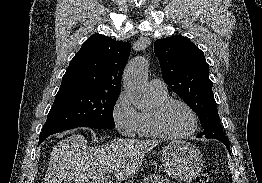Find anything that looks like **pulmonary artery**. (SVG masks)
I'll return each instance as SVG.
<instances>
[{"label":"pulmonary artery","instance_id":"obj_1","mask_svg":"<svg viewBox=\"0 0 262 183\" xmlns=\"http://www.w3.org/2000/svg\"><path fill=\"white\" fill-rule=\"evenodd\" d=\"M150 93L153 95H164L167 94V86L165 82L160 79H152L149 83Z\"/></svg>","mask_w":262,"mask_h":183}]
</instances>
